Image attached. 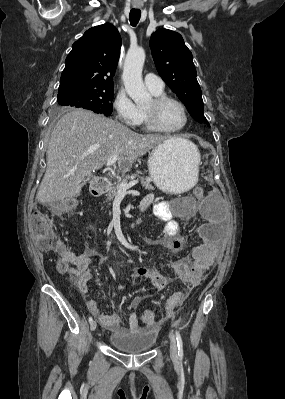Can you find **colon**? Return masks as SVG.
Returning a JSON list of instances; mask_svg holds the SVG:
<instances>
[{
	"instance_id": "obj_1",
	"label": "colon",
	"mask_w": 285,
	"mask_h": 399,
	"mask_svg": "<svg viewBox=\"0 0 285 399\" xmlns=\"http://www.w3.org/2000/svg\"><path fill=\"white\" fill-rule=\"evenodd\" d=\"M195 197H202L204 192L200 187L193 189ZM77 208V203L73 200L64 202L60 205L57 213L47 216L42 211L34 212L29 219V230L37 245L41 250L46 252H55L58 257L61 266L66 270L70 271L71 266L75 261V255L67 250L65 245L60 241L57 235V215L61 213L73 214ZM74 275L78 274V271H70ZM201 270L195 267L193 270L194 278L200 276ZM178 305L170 304L167 306V312L173 313L177 309ZM157 309L148 308L142 311V321L145 325H153L156 323Z\"/></svg>"
}]
</instances>
